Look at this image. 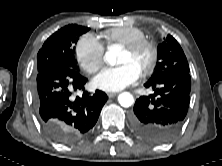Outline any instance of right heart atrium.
Here are the masks:
<instances>
[{"label":"right heart atrium","instance_id":"1","mask_svg":"<svg viewBox=\"0 0 222 166\" xmlns=\"http://www.w3.org/2000/svg\"><path fill=\"white\" fill-rule=\"evenodd\" d=\"M74 53L76 61L86 73H95L103 64L104 46L93 34L81 36Z\"/></svg>","mask_w":222,"mask_h":166}]
</instances>
